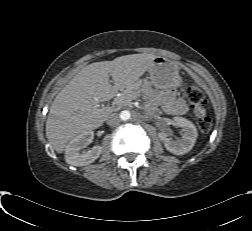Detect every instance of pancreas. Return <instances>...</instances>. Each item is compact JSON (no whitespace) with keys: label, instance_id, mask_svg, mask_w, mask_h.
Masks as SVG:
<instances>
[{"label":"pancreas","instance_id":"obj_1","mask_svg":"<svg viewBox=\"0 0 252 231\" xmlns=\"http://www.w3.org/2000/svg\"><path fill=\"white\" fill-rule=\"evenodd\" d=\"M131 97L129 96V93L124 92L123 95L116 98V108L120 109L123 106H128L131 104Z\"/></svg>","mask_w":252,"mask_h":231}]
</instances>
